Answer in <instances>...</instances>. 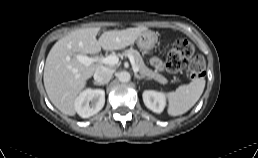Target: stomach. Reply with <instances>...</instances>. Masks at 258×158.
Listing matches in <instances>:
<instances>
[{
  "label": "stomach",
  "instance_id": "1",
  "mask_svg": "<svg viewBox=\"0 0 258 158\" xmlns=\"http://www.w3.org/2000/svg\"><path fill=\"white\" fill-rule=\"evenodd\" d=\"M157 41L156 34L153 31H143L136 40L138 48L143 52L151 51Z\"/></svg>",
  "mask_w": 258,
  "mask_h": 158
}]
</instances>
